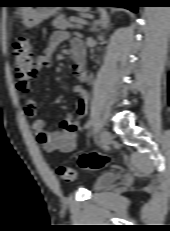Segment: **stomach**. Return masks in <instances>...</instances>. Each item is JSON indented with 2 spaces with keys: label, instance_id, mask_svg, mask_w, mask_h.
I'll return each mask as SVG.
<instances>
[{
  "label": "stomach",
  "instance_id": "1",
  "mask_svg": "<svg viewBox=\"0 0 170 231\" xmlns=\"http://www.w3.org/2000/svg\"><path fill=\"white\" fill-rule=\"evenodd\" d=\"M26 3H35V4H51L56 3V1L51 0H30ZM60 7H45L40 5V7H22V19L26 27H33L41 23L42 21L50 18L59 11ZM80 10H86L85 7H80Z\"/></svg>",
  "mask_w": 170,
  "mask_h": 231
}]
</instances>
